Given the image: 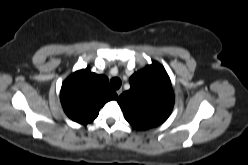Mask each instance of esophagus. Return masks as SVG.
I'll list each match as a JSON object with an SVG mask.
<instances>
[{
    "label": "esophagus",
    "instance_id": "34e87169",
    "mask_svg": "<svg viewBox=\"0 0 248 165\" xmlns=\"http://www.w3.org/2000/svg\"><path fill=\"white\" fill-rule=\"evenodd\" d=\"M116 93H117L118 96H120V95L122 94V88L118 89V90L116 91Z\"/></svg>",
    "mask_w": 248,
    "mask_h": 165
}]
</instances>
